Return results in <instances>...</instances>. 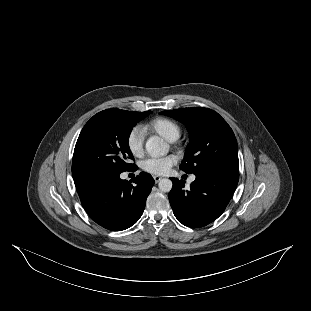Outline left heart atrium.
<instances>
[{
  "instance_id": "39dd6f15",
  "label": "left heart atrium",
  "mask_w": 311,
  "mask_h": 311,
  "mask_svg": "<svg viewBox=\"0 0 311 311\" xmlns=\"http://www.w3.org/2000/svg\"><path fill=\"white\" fill-rule=\"evenodd\" d=\"M178 163V157L174 154L160 158H148L141 163V169L155 176H166L171 168Z\"/></svg>"
}]
</instances>
